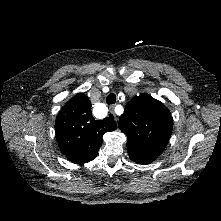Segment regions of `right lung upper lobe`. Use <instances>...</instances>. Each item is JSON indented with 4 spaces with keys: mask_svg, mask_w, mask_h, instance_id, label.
Masks as SVG:
<instances>
[{
    "mask_svg": "<svg viewBox=\"0 0 221 221\" xmlns=\"http://www.w3.org/2000/svg\"><path fill=\"white\" fill-rule=\"evenodd\" d=\"M115 129L113 119L93 118L91 102L83 93L75 95L62 107L55 122L56 140L62 154L77 164L95 159L103 135Z\"/></svg>",
    "mask_w": 221,
    "mask_h": 221,
    "instance_id": "obj_1",
    "label": "right lung upper lobe"
}]
</instances>
